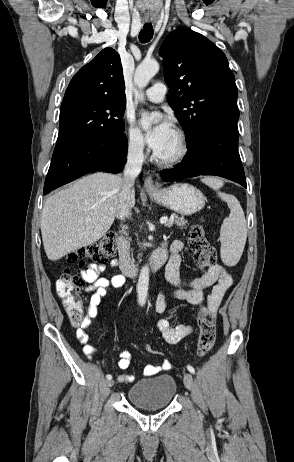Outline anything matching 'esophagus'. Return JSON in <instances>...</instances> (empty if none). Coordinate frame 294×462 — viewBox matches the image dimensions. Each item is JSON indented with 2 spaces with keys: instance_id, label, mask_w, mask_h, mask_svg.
I'll return each mask as SVG.
<instances>
[{
  "instance_id": "esophagus-1",
  "label": "esophagus",
  "mask_w": 294,
  "mask_h": 462,
  "mask_svg": "<svg viewBox=\"0 0 294 462\" xmlns=\"http://www.w3.org/2000/svg\"><path fill=\"white\" fill-rule=\"evenodd\" d=\"M144 188L146 189V191H156V186L152 180V178L150 176H148L145 181H144Z\"/></svg>"
}]
</instances>
